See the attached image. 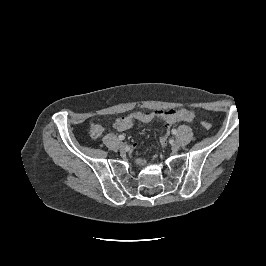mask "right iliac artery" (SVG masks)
I'll return each instance as SVG.
<instances>
[{"label": "right iliac artery", "mask_w": 266, "mask_h": 266, "mask_svg": "<svg viewBox=\"0 0 266 266\" xmlns=\"http://www.w3.org/2000/svg\"><path fill=\"white\" fill-rule=\"evenodd\" d=\"M118 139H119V140H124V139H125V136H124L123 134H122V135H119V136H118Z\"/></svg>", "instance_id": "obj_1"}]
</instances>
